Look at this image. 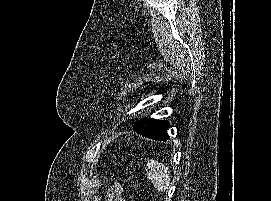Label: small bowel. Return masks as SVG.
<instances>
[{
  "label": "small bowel",
  "mask_w": 271,
  "mask_h": 201,
  "mask_svg": "<svg viewBox=\"0 0 271 201\" xmlns=\"http://www.w3.org/2000/svg\"><path fill=\"white\" fill-rule=\"evenodd\" d=\"M120 194L121 188L116 184L108 190L106 201H122Z\"/></svg>",
  "instance_id": "obj_1"
}]
</instances>
